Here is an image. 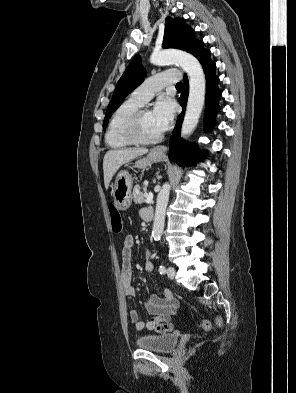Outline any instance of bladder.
Masks as SVG:
<instances>
[{
  "mask_svg": "<svg viewBox=\"0 0 296 393\" xmlns=\"http://www.w3.org/2000/svg\"><path fill=\"white\" fill-rule=\"evenodd\" d=\"M178 341L176 334L149 335L137 339L136 345L144 350L169 354L176 348Z\"/></svg>",
  "mask_w": 296,
  "mask_h": 393,
  "instance_id": "1",
  "label": "bladder"
}]
</instances>
